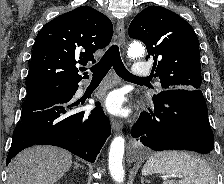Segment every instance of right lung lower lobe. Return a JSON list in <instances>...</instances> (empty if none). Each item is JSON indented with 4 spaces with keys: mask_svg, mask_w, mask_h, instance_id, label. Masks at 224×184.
I'll list each match as a JSON object with an SVG mask.
<instances>
[{
    "mask_svg": "<svg viewBox=\"0 0 224 184\" xmlns=\"http://www.w3.org/2000/svg\"><path fill=\"white\" fill-rule=\"evenodd\" d=\"M78 83L60 85L26 98L15 127L6 165L21 150L33 145H54L94 162L111 133L101 107L90 113L74 112L72 97Z\"/></svg>",
    "mask_w": 224,
    "mask_h": 184,
    "instance_id": "right-lung-lower-lobe-1",
    "label": "right lung lower lobe"
}]
</instances>
